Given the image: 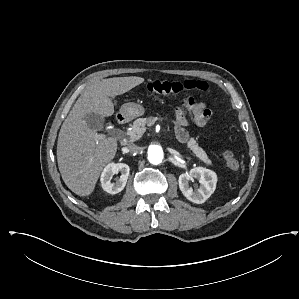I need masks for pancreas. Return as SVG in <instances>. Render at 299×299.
I'll return each instance as SVG.
<instances>
[{
    "label": "pancreas",
    "instance_id": "pancreas-1",
    "mask_svg": "<svg viewBox=\"0 0 299 299\" xmlns=\"http://www.w3.org/2000/svg\"><path fill=\"white\" fill-rule=\"evenodd\" d=\"M146 124L147 119L146 118H139L133 122L131 125L130 130L127 132L128 139L130 141L138 140L142 137L144 132L146 131ZM187 147L205 164L211 165L212 162L207 156L206 152L198 146L194 138H191L188 143Z\"/></svg>",
    "mask_w": 299,
    "mask_h": 299
}]
</instances>
